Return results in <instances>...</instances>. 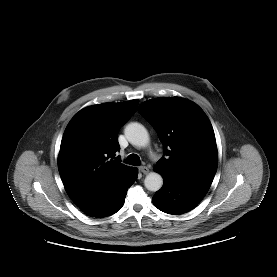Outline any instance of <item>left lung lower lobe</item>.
<instances>
[{
	"label": "left lung lower lobe",
	"mask_w": 277,
	"mask_h": 277,
	"mask_svg": "<svg viewBox=\"0 0 277 277\" xmlns=\"http://www.w3.org/2000/svg\"><path fill=\"white\" fill-rule=\"evenodd\" d=\"M163 187L153 196V203L161 211L169 214H183L190 211L203 199L209 186L184 183L163 177Z\"/></svg>",
	"instance_id": "obj_1"
}]
</instances>
